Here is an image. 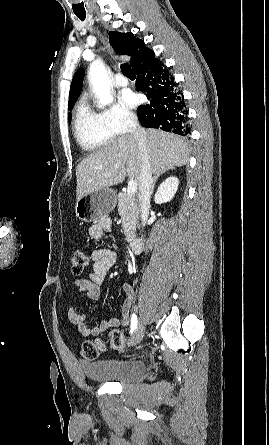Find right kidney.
I'll list each match as a JSON object with an SVG mask.
<instances>
[{
    "label": "right kidney",
    "mask_w": 269,
    "mask_h": 445,
    "mask_svg": "<svg viewBox=\"0 0 269 445\" xmlns=\"http://www.w3.org/2000/svg\"><path fill=\"white\" fill-rule=\"evenodd\" d=\"M179 185V180L175 176L168 177L165 181H163L156 194L154 201L156 204H162L169 202L175 195Z\"/></svg>",
    "instance_id": "ca27d5eb"
}]
</instances>
